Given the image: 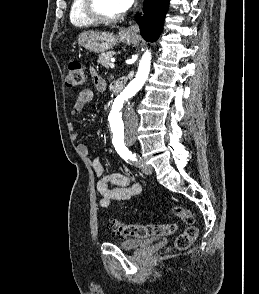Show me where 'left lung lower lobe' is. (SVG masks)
Instances as JSON below:
<instances>
[{
    "mask_svg": "<svg viewBox=\"0 0 259 294\" xmlns=\"http://www.w3.org/2000/svg\"><path fill=\"white\" fill-rule=\"evenodd\" d=\"M168 2L169 0H145L143 15H136L140 32L145 40L153 42L159 37L163 28Z\"/></svg>",
    "mask_w": 259,
    "mask_h": 294,
    "instance_id": "1",
    "label": "left lung lower lobe"
}]
</instances>
